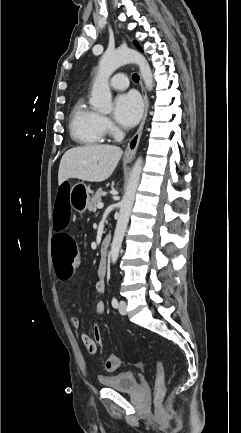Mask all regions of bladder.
Returning a JSON list of instances; mask_svg holds the SVG:
<instances>
[{"label":"bladder","mask_w":241,"mask_h":433,"mask_svg":"<svg viewBox=\"0 0 241 433\" xmlns=\"http://www.w3.org/2000/svg\"><path fill=\"white\" fill-rule=\"evenodd\" d=\"M98 381L103 387L123 392L134 391L139 384L137 374L131 371H123L113 375H103L99 377Z\"/></svg>","instance_id":"1"}]
</instances>
